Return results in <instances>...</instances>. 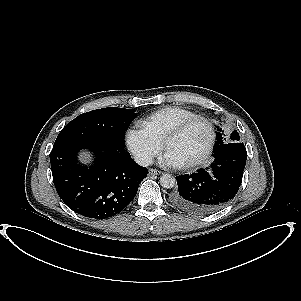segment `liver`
Returning a JSON list of instances; mask_svg holds the SVG:
<instances>
[{
	"label": "liver",
	"instance_id": "6515ba94",
	"mask_svg": "<svg viewBox=\"0 0 301 301\" xmlns=\"http://www.w3.org/2000/svg\"><path fill=\"white\" fill-rule=\"evenodd\" d=\"M89 159V155L87 153H81L80 154V160L83 162H87V160Z\"/></svg>",
	"mask_w": 301,
	"mask_h": 301
}]
</instances>
